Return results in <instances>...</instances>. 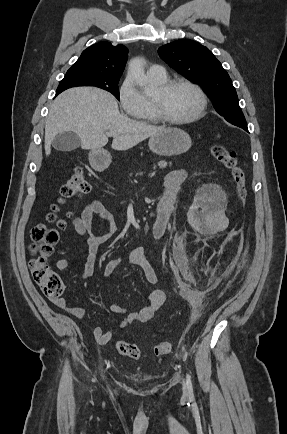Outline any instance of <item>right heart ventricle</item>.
<instances>
[{"label":"right heart ventricle","mask_w":287,"mask_h":434,"mask_svg":"<svg viewBox=\"0 0 287 434\" xmlns=\"http://www.w3.org/2000/svg\"><path fill=\"white\" fill-rule=\"evenodd\" d=\"M153 80L156 81L157 83L161 84V83H163V82H165L167 80V76L164 79H154L153 78ZM145 98H146L145 108L143 109V111L140 114H138L136 116V118L139 121H142V122H148V123H157V122H159L160 119L158 118V116H157V114L155 112L152 99L147 98V97H145Z\"/></svg>","instance_id":"e07e8e85"}]
</instances>
